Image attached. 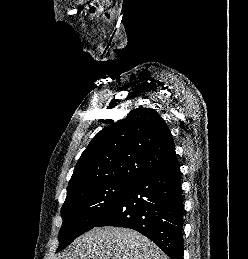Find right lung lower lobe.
I'll use <instances>...</instances> for the list:
<instances>
[{
    "mask_svg": "<svg viewBox=\"0 0 248 259\" xmlns=\"http://www.w3.org/2000/svg\"><path fill=\"white\" fill-rule=\"evenodd\" d=\"M183 213L180 165L176 160L135 179L96 226L136 230L171 259H183Z\"/></svg>",
    "mask_w": 248,
    "mask_h": 259,
    "instance_id": "1",
    "label": "right lung lower lobe"
}]
</instances>
